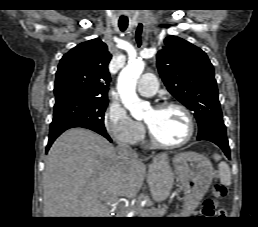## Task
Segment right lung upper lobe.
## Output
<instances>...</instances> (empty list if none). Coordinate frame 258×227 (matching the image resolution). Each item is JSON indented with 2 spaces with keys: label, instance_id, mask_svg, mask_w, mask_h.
Wrapping results in <instances>:
<instances>
[{
  "label": "right lung upper lobe",
  "instance_id": "cb5924a9",
  "mask_svg": "<svg viewBox=\"0 0 258 227\" xmlns=\"http://www.w3.org/2000/svg\"><path fill=\"white\" fill-rule=\"evenodd\" d=\"M112 55L107 46L96 38L83 42L66 53L56 72L55 96L74 93L107 99Z\"/></svg>",
  "mask_w": 258,
  "mask_h": 227
}]
</instances>
